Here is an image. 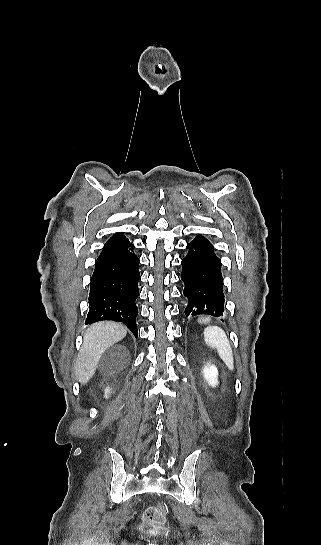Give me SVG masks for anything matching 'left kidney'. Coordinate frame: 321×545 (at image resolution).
Here are the masks:
<instances>
[{
	"instance_id": "obj_1",
	"label": "left kidney",
	"mask_w": 321,
	"mask_h": 545,
	"mask_svg": "<svg viewBox=\"0 0 321 545\" xmlns=\"http://www.w3.org/2000/svg\"><path fill=\"white\" fill-rule=\"evenodd\" d=\"M203 375L204 379L208 381L209 385H212V387L218 385V371L215 365H209V367H205V369H203Z\"/></svg>"
}]
</instances>
